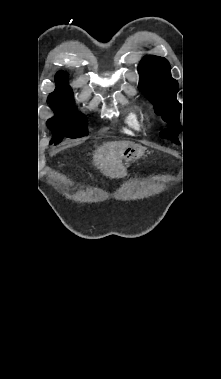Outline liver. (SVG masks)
I'll list each match as a JSON object with an SVG mask.
<instances>
[{
	"label": "liver",
	"mask_w": 221,
	"mask_h": 379,
	"mask_svg": "<svg viewBox=\"0 0 221 379\" xmlns=\"http://www.w3.org/2000/svg\"><path fill=\"white\" fill-rule=\"evenodd\" d=\"M131 143L128 141H116L104 143L95 150L93 162L95 166L110 178L124 176L123 153Z\"/></svg>",
	"instance_id": "obj_1"
}]
</instances>
